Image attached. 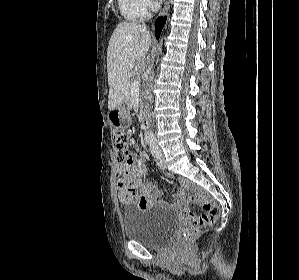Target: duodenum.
I'll return each mask as SVG.
<instances>
[{
    "label": "duodenum",
    "mask_w": 299,
    "mask_h": 280,
    "mask_svg": "<svg viewBox=\"0 0 299 280\" xmlns=\"http://www.w3.org/2000/svg\"><path fill=\"white\" fill-rule=\"evenodd\" d=\"M150 124V116L146 107L142 110V130L146 131Z\"/></svg>",
    "instance_id": "1"
}]
</instances>
